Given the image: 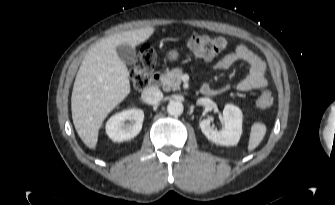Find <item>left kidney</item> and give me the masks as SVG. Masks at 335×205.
Returning a JSON list of instances; mask_svg holds the SVG:
<instances>
[{"mask_svg":"<svg viewBox=\"0 0 335 205\" xmlns=\"http://www.w3.org/2000/svg\"><path fill=\"white\" fill-rule=\"evenodd\" d=\"M212 118L202 120L199 125L203 134L212 142L225 146H235L242 134V112L232 104L223 110V127L221 130L211 126Z\"/></svg>","mask_w":335,"mask_h":205,"instance_id":"obj_1","label":"left kidney"}]
</instances>
